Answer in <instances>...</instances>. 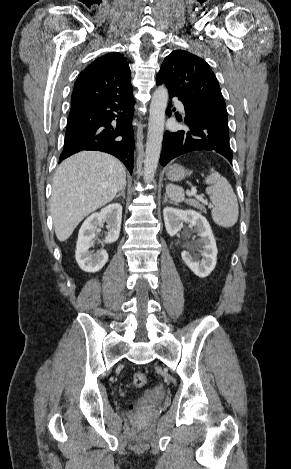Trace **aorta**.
<instances>
[{
  "instance_id": "1",
  "label": "aorta",
  "mask_w": 291,
  "mask_h": 469,
  "mask_svg": "<svg viewBox=\"0 0 291 469\" xmlns=\"http://www.w3.org/2000/svg\"><path fill=\"white\" fill-rule=\"evenodd\" d=\"M167 101V88L165 86H159L155 90L150 104L144 160V180L146 183L153 180L160 159Z\"/></svg>"
}]
</instances>
